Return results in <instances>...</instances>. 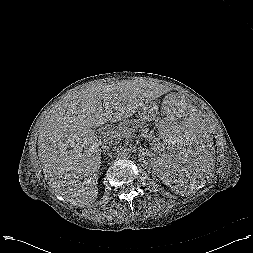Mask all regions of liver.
<instances>
[{"label":"liver","mask_w":253,"mask_h":253,"mask_svg":"<svg viewBox=\"0 0 253 253\" xmlns=\"http://www.w3.org/2000/svg\"><path fill=\"white\" fill-rule=\"evenodd\" d=\"M152 84L136 81L95 84L65 100L41 123L38 155L52 190L85 207L98 197L101 149L93 128L135 114L156 97Z\"/></svg>","instance_id":"6515ba94"}]
</instances>
